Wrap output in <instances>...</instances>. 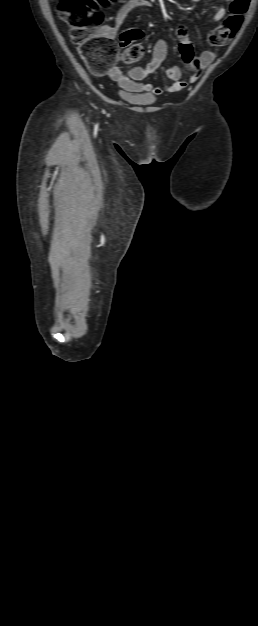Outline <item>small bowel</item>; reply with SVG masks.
<instances>
[{"instance_id":"1","label":"small bowel","mask_w":258,"mask_h":626,"mask_svg":"<svg viewBox=\"0 0 258 626\" xmlns=\"http://www.w3.org/2000/svg\"><path fill=\"white\" fill-rule=\"evenodd\" d=\"M192 2H199L200 0H191ZM150 0H127L117 11L116 15L112 18L114 20V26L106 27L103 32L109 39H114L118 34V26L123 22L126 16L135 8L142 6H150ZM226 14L224 7H219L213 16L215 22L220 21ZM176 35L179 40V52L184 64L189 68L195 76V80L199 77L200 72L209 66L215 59L217 53V47L214 50L203 51L201 54L196 55L194 53L193 45L188 36V29L180 25L176 29ZM167 55V43L164 39H160L154 46L152 59L144 67H134L127 74H125L116 63H111L107 69L106 74L124 90L130 92H147L155 95L162 94L164 92H179L187 85L182 77V72L179 67L173 66L165 71L166 77L171 81L169 85L164 87H154L150 82H141L149 74L155 72L162 64ZM190 76V77H191ZM190 77L188 79L190 81Z\"/></svg>"}]
</instances>
